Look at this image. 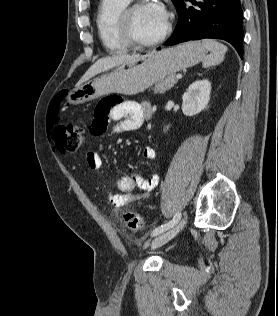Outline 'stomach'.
<instances>
[{
    "label": "stomach",
    "mask_w": 278,
    "mask_h": 316,
    "mask_svg": "<svg viewBox=\"0 0 278 316\" xmlns=\"http://www.w3.org/2000/svg\"><path fill=\"white\" fill-rule=\"evenodd\" d=\"M206 53L207 49L200 42L156 51L76 87L68 92L66 101L78 105L110 93L132 95L143 92L161 79L196 65Z\"/></svg>",
    "instance_id": "0dacf381"
}]
</instances>
